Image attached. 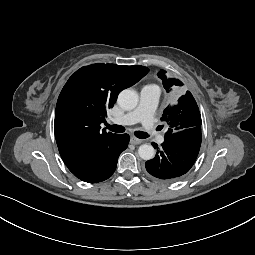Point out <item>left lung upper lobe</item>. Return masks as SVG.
I'll return each instance as SVG.
<instances>
[{
    "label": "left lung upper lobe",
    "mask_w": 255,
    "mask_h": 255,
    "mask_svg": "<svg viewBox=\"0 0 255 255\" xmlns=\"http://www.w3.org/2000/svg\"><path fill=\"white\" fill-rule=\"evenodd\" d=\"M158 77L163 81L164 88L167 92L173 91L177 94L173 104L163 111L161 118V120L169 124L165 137L189 128L201 126V115L192 94L189 91L183 93L178 88L183 83L178 79L168 78L165 70H160Z\"/></svg>",
    "instance_id": "1"
}]
</instances>
